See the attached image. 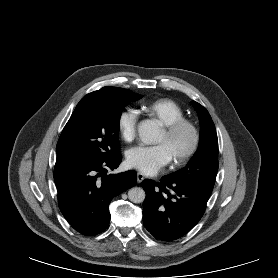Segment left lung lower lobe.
I'll return each mask as SVG.
<instances>
[{
  "label": "left lung lower lobe",
  "instance_id": "obj_1",
  "mask_svg": "<svg viewBox=\"0 0 278 278\" xmlns=\"http://www.w3.org/2000/svg\"><path fill=\"white\" fill-rule=\"evenodd\" d=\"M145 228L158 240L172 241L189 232L204 214L213 188L167 176L160 182L145 179Z\"/></svg>",
  "mask_w": 278,
  "mask_h": 278
}]
</instances>
